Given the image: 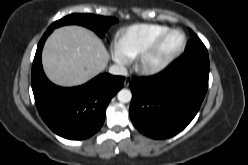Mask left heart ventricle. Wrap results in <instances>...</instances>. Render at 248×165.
Segmentation results:
<instances>
[{
    "label": "left heart ventricle",
    "mask_w": 248,
    "mask_h": 165,
    "mask_svg": "<svg viewBox=\"0 0 248 165\" xmlns=\"http://www.w3.org/2000/svg\"><path fill=\"white\" fill-rule=\"evenodd\" d=\"M182 36L179 32L168 35L151 56L152 61H159L172 53L181 44Z\"/></svg>",
    "instance_id": "left-heart-ventricle-1"
}]
</instances>
